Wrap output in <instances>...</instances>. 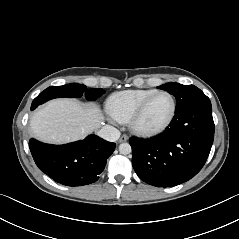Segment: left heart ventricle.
I'll return each instance as SVG.
<instances>
[{
  "label": "left heart ventricle",
  "mask_w": 239,
  "mask_h": 239,
  "mask_svg": "<svg viewBox=\"0 0 239 239\" xmlns=\"http://www.w3.org/2000/svg\"><path fill=\"white\" fill-rule=\"evenodd\" d=\"M171 110V99L167 95H159L147 105L140 118V124L145 127L158 126L169 117Z\"/></svg>",
  "instance_id": "left-heart-ventricle-1"
}]
</instances>
